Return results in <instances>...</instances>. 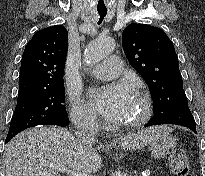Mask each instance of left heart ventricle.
<instances>
[{"label":"left heart ventricle","instance_id":"left-heart-ventricle-1","mask_svg":"<svg viewBox=\"0 0 205 176\" xmlns=\"http://www.w3.org/2000/svg\"><path fill=\"white\" fill-rule=\"evenodd\" d=\"M143 111V106L137 96H134L129 106L124 111L121 118L118 120L120 123H129L137 120Z\"/></svg>","mask_w":205,"mask_h":176}]
</instances>
